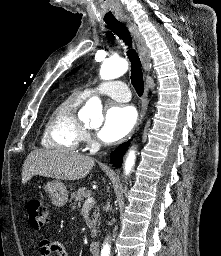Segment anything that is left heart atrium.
I'll return each mask as SVG.
<instances>
[{
	"label": "left heart atrium",
	"instance_id": "left-heart-atrium-1",
	"mask_svg": "<svg viewBox=\"0 0 221 256\" xmlns=\"http://www.w3.org/2000/svg\"><path fill=\"white\" fill-rule=\"evenodd\" d=\"M135 122L136 113L132 107L112 104L105 112L104 122L98 131V137L106 143L116 142L131 131Z\"/></svg>",
	"mask_w": 221,
	"mask_h": 256
}]
</instances>
